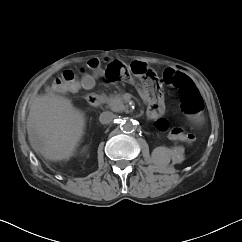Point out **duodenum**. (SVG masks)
I'll return each instance as SVG.
<instances>
[{
    "label": "duodenum",
    "mask_w": 242,
    "mask_h": 242,
    "mask_svg": "<svg viewBox=\"0 0 242 242\" xmlns=\"http://www.w3.org/2000/svg\"><path fill=\"white\" fill-rule=\"evenodd\" d=\"M86 101L91 107H98L102 103L101 96L97 93H90L86 96Z\"/></svg>",
    "instance_id": "obj_1"
}]
</instances>
